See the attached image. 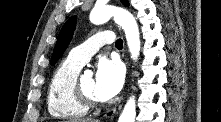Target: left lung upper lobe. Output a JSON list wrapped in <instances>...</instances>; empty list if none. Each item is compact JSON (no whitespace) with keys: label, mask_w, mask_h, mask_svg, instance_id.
Returning <instances> with one entry per match:
<instances>
[{"label":"left lung upper lobe","mask_w":221,"mask_h":122,"mask_svg":"<svg viewBox=\"0 0 221 122\" xmlns=\"http://www.w3.org/2000/svg\"><path fill=\"white\" fill-rule=\"evenodd\" d=\"M121 2L125 6H129L128 0H121ZM76 20V16H73L63 25L56 46L54 48V52L50 62L51 65H54L57 62V60L61 57L63 52L66 50L68 44L70 43L73 36V31L75 30Z\"/></svg>","instance_id":"5c2ea615"}]
</instances>
